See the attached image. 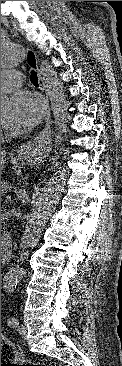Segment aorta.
Wrapping results in <instances>:
<instances>
[{
	"label": "aorta",
	"instance_id": "762f6f07",
	"mask_svg": "<svg viewBox=\"0 0 122 366\" xmlns=\"http://www.w3.org/2000/svg\"><path fill=\"white\" fill-rule=\"evenodd\" d=\"M25 59V47L22 44L11 42L1 43L2 70L16 67L24 63ZM41 70L44 75L47 95L50 98L55 126L61 133H66L69 114L63 83L47 62L44 61L42 63ZM7 103L8 99L1 95L2 112ZM66 177L67 168L65 165L59 163L41 188L21 238L20 247L23 252L34 247L38 243L44 227L64 191V181ZM20 260H23V253L20 255ZM14 272L16 275L19 272V269H15Z\"/></svg>",
	"mask_w": 122,
	"mask_h": 366
}]
</instances>
